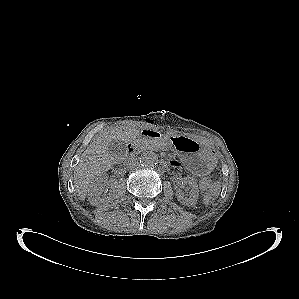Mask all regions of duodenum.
<instances>
[{
  "instance_id": "410a0bca",
  "label": "duodenum",
  "mask_w": 299,
  "mask_h": 299,
  "mask_svg": "<svg viewBox=\"0 0 299 299\" xmlns=\"http://www.w3.org/2000/svg\"><path fill=\"white\" fill-rule=\"evenodd\" d=\"M140 136H152V132L148 130H144L141 132ZM135 149H136V139L130 141L127 145V150L129 154L134 153Z\"/></svg>"
}]
</instances>
